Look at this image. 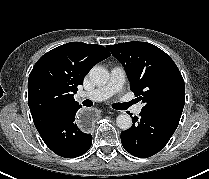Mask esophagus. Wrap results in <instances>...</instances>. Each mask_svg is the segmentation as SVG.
<instances>
[{
  "mask_svg": "<svg viewBox=\"0 0 209 179\" xmlns=\"http://www.w3.org/2000/svg\"><path fill=\"white\" fill-rule=\"evenodd\" d=\"M97 118V112L93 108L81 109L76 116L77 127L84 132L90 131L94 127Z\"/></svg>",
  "mask_w": 209,
  "mask_h": 179,
  "instance_id": "obj_1",
  "label": "esophagus"
}]
</instances>
